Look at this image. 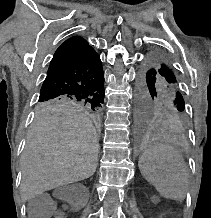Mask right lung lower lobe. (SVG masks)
I'll use <instances>...</instances> for the list:
<instances>
[{
    "mask_svg": "<svg viewBox=\"0 0 211 218\" xmlns=\"http://www.w3.org/2000/svg\"><path fill=\"white\" fill-rule=\"evenodd\" d=\"M60 96L104 102V74L95 51L50 64L39 98Z\"/></svg>",
    "mask_w": 211,
    "mask_h": 218,
    "instance_id": "98d812e1",
    "label": "right lung lower lobe"
}]
</instances>
